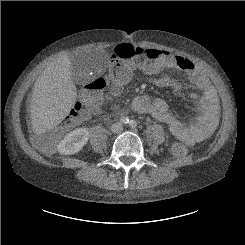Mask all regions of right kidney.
Returning a JSON list of instances; mask_svg holds the SVG:
<instances>
[{
	"label": "right kidney",
	"mask_w": 245,
	"mask_h": 245,
	"mask_svg": "<svg viewBox=\"0 0 245 245\" xmlns=\"http://www.w3.org/2000/svg\"><path fill=\"white\" fill-rule=\"evenodd\" d=\"M89 139V132L86 128H77L68 133L59 142L58 152L65 155L75 154L80 151Z\"/></svg>",
	"instance_id": "ca27d5eb"
}]
</instances>
